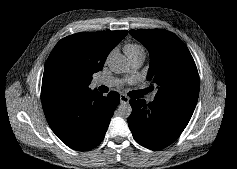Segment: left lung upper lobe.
I'll return each instance as SVG.
<instances>
[{"label":"left lung upper lobe","mask_w":237,"mask_h":169,"mask_svg":"<svg viewBox=\"0 0 237 169\" xmlns=\"http://www.w3.org/2000/svg\"><path fill=\"white\" fill-rule=\"evenodd\" d=\"M130 34L150 53L147 79L158 87L155 99L196 105L199 76L186 45L167 30H131Z\"/></svg>","instance_id":"1"}]
</instances>
